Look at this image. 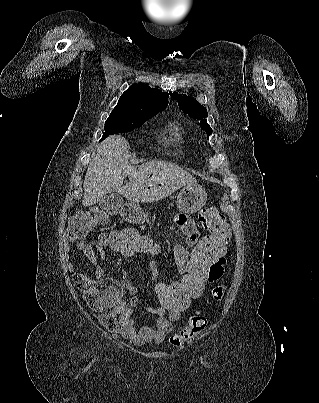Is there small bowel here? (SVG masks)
I'll return each instance as SVG.
<instances>
[{
	"label": "small bowel",
	"instance_id": "obj_1",
	"mask_svg": "<svg viewBox=\"0 0 319 403\" xmlns=\"http://www.w3.org/2000/svg\"><path fill=\"white\" fill-rule=\"evenodd\" d=\"M175 223L188 237V239L182 241V244H177L173 251L178 272L180 275H183L182 270L183 267H186V258L189 255L187 248L194 245V242H198L200 234L194 221L183 214L175 217ZM69 238L72 239L70 236ZM92 247L99 248L102 251L107 250L101 249L98 241H93ZM65 250L66 257L69 259L70 248L65 246ZM86 253L90 262L95 267L94 278L89 279L86 291L87 304L89 305V309H103L101 321L104 324V328L107 329L108 335H120L134 344L148 341L162 342L172 330V323L179 320L182 313H157L156 308H148V312L157 316L156 328L137 327L132 320V309L127 305L129 303V296L131 297V306L137 303V287L134 282L128 278H124L121 280V285H118V279H102L104 270L98 264L94 253ZM223 264L224 258H218L215 262L210 263L211 275L208 283H218L222 280L220 274L224 271ZM66 266L70 273L75 274L76 268L71 262H67ZM150 268L154 274H157L158 268H152L151 264ZM125 292L129 296L123 295ZM156 295H159V291H156Z\"/></svg>",
	"mask_w": 319,
	"mask_h": 403
}]
</instances>
